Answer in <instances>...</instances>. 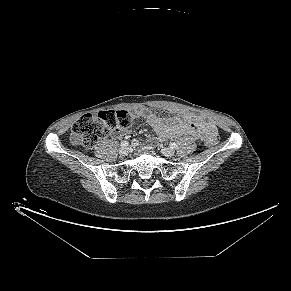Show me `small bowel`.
Returning a JSON list of instances; mask_svg holds the SVG:
<instances>
[{
  "label": "small bowel",
  "instance_id": "1",
  "mask_svg": "<svg viewBox=\"0 0 291 291\" xmlns=\"http://www.w3.org/2000/svg\"><path fill=\"white\" fill-rule=\"evenodd\" d=\"M134 115L144 118L157 133L159 140L180 136L205 138L207 134L216 131V127L212 122L206 121L192 113L162 118L150 110L139 109L135 111Z\"/></svg>",
  "mask_w": 291,
  "mask_h": 291
}]
</instances>
